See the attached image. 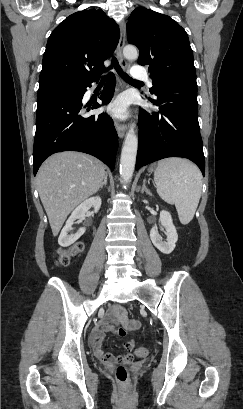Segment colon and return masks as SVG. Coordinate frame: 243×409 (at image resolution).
Masks as SVG:
<instances>
[{
    "label": "colon",
    "instance_id": "colon-1",
    "mask_svg": "<svg viewBox=\"0 0 243 409\" xmlns=\"http://www.w3.org/2000/svg\"><path fill=\"white\" fill-rule=\"evenodd\" d=\"M84 248L83 242H78L73 245L68 250H61L59 251L58 258H57V265L58 266H67L70 263L71 257L75 256L76 254L80 253ZM130 312L126 313L129 315ZM118 335H123L125 333L124 329L116 328L114 329ZM148 349L146 347H138L136 349V353L141 357H146L148 355ZM116 379L120 384H126L129 379V373L127 368L124 365H119L115 371Z\"/></svg>",
    "mask_w": 243,
    "mask_h": 409
}]
</instances>
